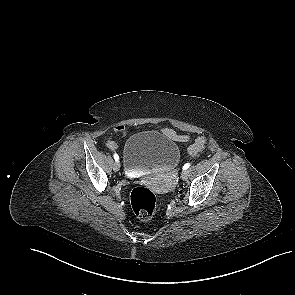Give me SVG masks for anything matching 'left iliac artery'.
<instances>
[{"mask_svg": "<svg viewBox=\"0 0 295 295\" xmlns=\"http://www.w3.org/2000/svg\"><path fill=\"white\" fill-rule=\"evenodd\" d=\"M190 167V163H186L184 166H183V170H186Z\"/></svg>", "mask_w": 295, "mask_h": 295, "instance_id": "1", "label": "left iliac artery"}]
</instances>
